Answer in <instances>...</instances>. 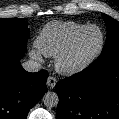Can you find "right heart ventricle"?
Masks as SVG:
<instances>
[{"mask_svg":"<svg viewBox=\"0 0 119 119\" xmlns=\"http://www.w3.org/2000/svg\"><path fill=\"white\" fill-rule=\"evenodd\" d=\"M86 25L73 21L48 23L36 39L38 51L49 57H56L67 46L72 37Z\"/></svg>","mask_w":119,"mask_h":119,"instance_id":"right-heart-ventricle-1","label":"right heart ventricle"}]
</instances>
